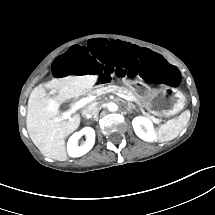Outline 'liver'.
<instances>
[{"instance_id":"liver-1","label":"liver","mask_w":215,"mask_h":215,"mask_svg":"<svg viewBox=\"0 0 215 215\" xmlns=\"http://www.w3.org/2000/svg\"><path fill=\"white\" fill-rule=\"evenodd\" d=\"M95 80L96 75L92 74L54 78L45 84L57 93L54 98L48 97L42 85L32 90L26 125L31 140L45 156L67 160L64 139L78 128L80 115L74 114L68 121L61 120L58 118L59 106L69 98L84 95Z\"/></svg>"}]
</instances>
